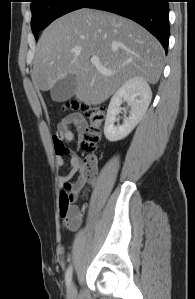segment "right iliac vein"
<instances>
[{
  "label": "right iliac vein",
  "mask_w": 195,
  "mask_h": 299,
  "mask_svg": "<svg viewBox=\"0 0 195 299\" xmlns=\"http://www.w3.org/2000/svg\"><path fill=\"white\" fill-rule=\"evenodd\" d=\"M68 296L70 299H73L75 296V286L73 284H70L68 287Z\"/></svg>",
  "instance_id": "right-iliac-vein-1"
}]
</instances>
